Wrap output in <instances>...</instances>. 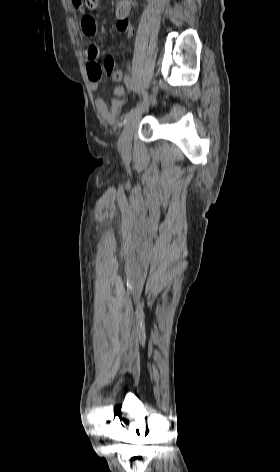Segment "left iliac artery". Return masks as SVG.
Segmentation results:
<instances>
[{
  "instance_id": "left-iliac-artery-1",
  "label": "left iliac artery",
  "mask_w": 280,
  "mask_h": 472,
  "mask_svg": "<svg viewBox=\"0 0 280 472\" xmlns=\"http://www.w3.org/2000/svg\"><path fill=\"white\" fill-rule=\"evenodd\" d=\"M124 83L127 89L134 91L136 93H141L143 96V100L139 104H137V106H135L128 113L125 114V121H126L131 115L135 114L138 111L144 110L148 101H147V94L140 91V89L136 86V84L133 82V80L128 74L124 75Z\"/></svg>"
}]
</instances>
